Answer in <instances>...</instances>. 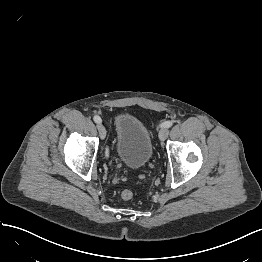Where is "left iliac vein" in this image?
Instances as JSON below:
<instances>
[{
    "label": "left iliac vein",
    "mask_w": 262,
    "mask_h": 262,
    "mask_svg": "<svg viewBox=\"0 0 262 262\" xmlns=\"http://www.w3.org/2000/svg\"><path fill=\"white\" fill-rule=\"evenodd\" d=\"M169 134V130L166 127H163L160 131H159V139L161 142H164Z\"/></svg>",
    "instance_id": "1"
}]
</instances>
